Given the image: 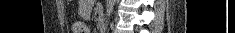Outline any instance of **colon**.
Wrapping results in <instances>:
<instances>
[{
  "label": "colon",
  "mask_w": 235,
  "mask_h": 33,
  "mask_svg": "<svg viewBox=\"0 0 235 33\" xmlns=\"http://www.w3.org/2000/svg\"><path fill=\"white\" fill-rule=\"evenodd\" d=\"M72 31L73 33H89L90 32L89 27L84 22H81V21H76L73 23Z\"/></svg>",
  "instance_id": "colon-1"
}]
</instances>
